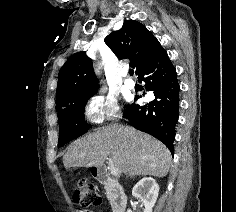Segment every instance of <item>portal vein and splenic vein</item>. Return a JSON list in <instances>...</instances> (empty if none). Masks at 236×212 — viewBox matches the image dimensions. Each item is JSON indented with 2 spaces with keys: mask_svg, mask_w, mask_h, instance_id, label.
<instances>
[{
  "mask_svg": "<svg viewBox=\"0 0 236 212\" xmlns=\"http://www.w3.org/2000/svg\"><path fill=\"white\" fill-rule=\"evenodd\" d=\"M107 159H108L109 164H110L109 169H110V173H111V175H113V176H117V175L119 174V170H118V168L115 167V166L112 164V160H111V158H107Z\"/></svg>",
  "mask_w": 236,
  "mask_h": 212,
  "instance_id": "18ae733b",
  "label": "portal vein and splenic vein"
}]
</instances>
